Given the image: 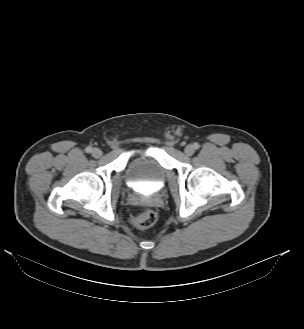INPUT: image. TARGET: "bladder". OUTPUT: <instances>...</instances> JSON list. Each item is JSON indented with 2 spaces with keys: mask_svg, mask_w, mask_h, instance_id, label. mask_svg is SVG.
Returning <instances> with one entry per match:
<instances>
[{
  "mask_svg": "<svg viewBox=\"0 0 304 329\" xmlns=\"http://www.w3.org/2000/svg\"><path fill=\"white\" fill-rule=\"evenodd\" d=\"M125 178L133 186H161L165 182V171L155 156H136L127 162Z\"/></svg>",
  "mask_w": 304,
  "mask_h": 329,
  "instance_id": "obj_1",
  "label": "bladder"
}]
</instances>
